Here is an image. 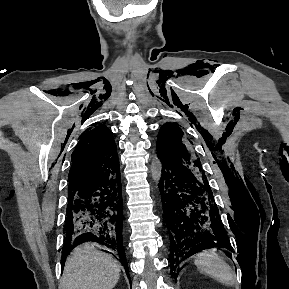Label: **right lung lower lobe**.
Masks as SVG:
<instances>
[{
  "mask_svg": "<svg viewBox=\"0 0 289 289\" xmlns=\"http://www.w3.org/2000/svg\"><path fill=\"white\" fill-rule=\"evenodd\" d=\"M122 230L120 172L103 176L80 190L69 192L61 256L62 266L66 256L76 245L95 242L119 257L129 277Z\"/></svg>",
  "mask_w": 289,
  "mask_h": 289,
  "instance_id": "right-lung-lower-lobe-1",
  "label": "right lung lower lobe"
}]
</instances>
